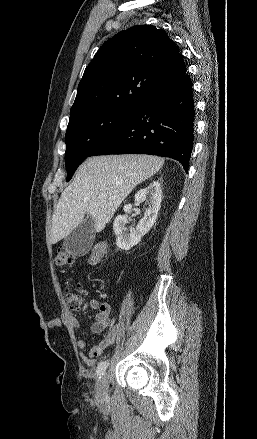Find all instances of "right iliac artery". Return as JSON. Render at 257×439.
<instances>
[{"mask_svg":"<svg viewBox=\"0 0 257 439\" xmlns=\"http://www.w3.org/2000/svg\"><path fill=\"white\" fill-rule=\"evenodd\" d=\"M108 364L109 363L107 361H102L98 364L97 369H96V375L98 378H101V376L104 374Z\"/></svg>","mask_w":257,"mask_h":439,"instance_id":"obj_1","label":"right iliac artery"}]
</instances>
